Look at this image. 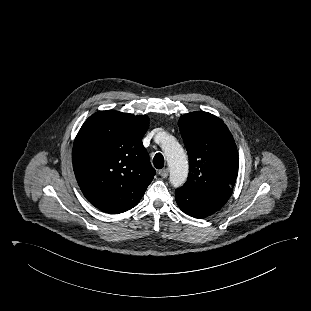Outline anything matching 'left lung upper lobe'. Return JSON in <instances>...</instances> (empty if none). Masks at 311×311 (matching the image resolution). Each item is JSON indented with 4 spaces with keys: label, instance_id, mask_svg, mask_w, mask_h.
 I'll return each instance as SVG.
<instances>
[{
    "label": "left lung upper lobe",
    "instance_id": "1",
    "mask_svg": "<svg viewBox=\"0 0 311 311\" xmlns=\"http://www.w3.org/2000/svg\"><path fill=\"white\" fill-rule=\"evenodd\" d=\"M189 156V175L182 186L196 195L226 203L238 174V152L224 122L207 112H191L179 119Z\"/></svg>",
    "mask_w": 311,
    "mask_h": 311
}]
</instances>
